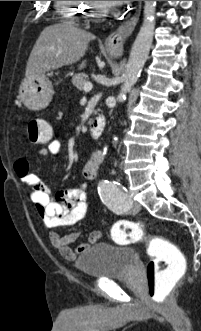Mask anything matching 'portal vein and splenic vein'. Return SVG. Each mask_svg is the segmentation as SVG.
<instances>
[{"mask_svg": "<svg viewBox=\"0 0 201 331\" xmlns=\"http://www.w3.org/2000/svg\"><path fill=\"white\" fill-rule=\"evenodd\" d=\"M92 87H93L92 83L88 82V83H86V84L84 85L83 90H84L85 92H90L91 89H92Z\"/></svg>", "mask_w": 201, "mask_h": 331, "instance_id": "1", "label": "portal vein and splenic vein"}]
</instances>
